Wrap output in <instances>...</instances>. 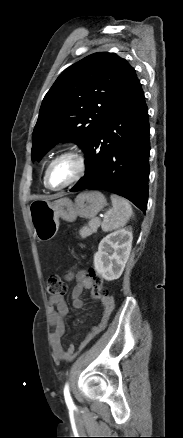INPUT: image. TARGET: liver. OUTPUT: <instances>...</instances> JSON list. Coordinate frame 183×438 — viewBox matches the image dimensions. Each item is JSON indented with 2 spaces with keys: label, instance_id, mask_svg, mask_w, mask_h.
I'll return each instance as SVG.
<instances>
[{
  "label": "liver",
  "instance_id": "6515ba94",
  "mask_svg": "<svg viewBox=\"0 0 183 438\" xmlns=\"http://www.w3.org/2000/svg\"><path fill=\"white\" fill-rule=\"evenodd\" d=\"M61 196H62V194H55V195H52V196H40V197H38V199L48 200V199H55V198H58V197H61Z\"/></svg>",
  "mask_w": 183,
  "mask_h": 438
}]
</instances>
